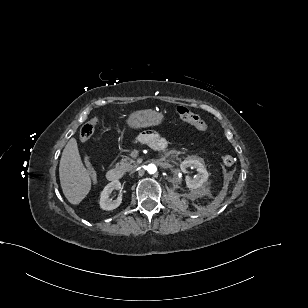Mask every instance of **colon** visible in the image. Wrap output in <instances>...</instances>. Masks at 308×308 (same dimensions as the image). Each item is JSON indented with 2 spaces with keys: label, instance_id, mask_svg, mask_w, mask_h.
<instances>
[{
  "label": "colon",
  "instance_id": "colon-1",
  "mask_svg": "<svg viewBox=\"0 0 308 308\" xmlns=\"http://www.w3.org/2000/svg\"><path fill=\"white\" fill-rule=\"evenodd\" d=\"M176 112L181 120L190 123L200 131H207L208 126L205 123V121L199 115L191 112L187 107L178 106ZM96 125H97V119L93 118L81 126L79 137L82 142H86L91 138V136L95 131ZM222 161L225 166L230 167L234 164L235 158L232 155L227 154L223 156ZM85 163L91 181L95 183L97 180V175L89 158L87 157L85 158Z\"/></svg>",
  "mask_w": 308,
  "mask_h": 308
}]
</instances>
